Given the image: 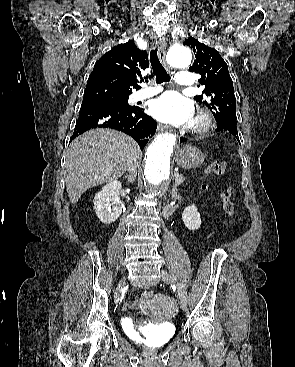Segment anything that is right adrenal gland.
<instances>
[{
	"instance_id": "obj_1",
	"label": "right adrenal gland",
	"mask_w": 295,
	"mask_h": 367,
	"mask_svg": "<svg viewBox=\"0 0 295 367\" xmlns=\"http://www.w3.org/2000/svg\"><path fill=\"white\" fill-rule=\"evenodd\" d=\"M125 178L127 179L128 182L134 183V181L136 180V173L134 172L132 174H127Z\"/></svg>"
}]
</instances>
